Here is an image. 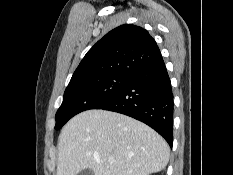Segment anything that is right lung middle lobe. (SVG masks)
<instances>
[{
  "label": "right lung middle lobe",
  "mask_w": 233,
  "mask_h": 175,
  "mask_svg": "<svg viewBox=\"0 0 233 175\" xmlns=\"http://www.w3.org/2000/svg\"><path fill=\"white\" fill-rule=\"evenodd\" d=\"M125 74H105L69 83L56 113L55 129H60L76 114L96 109L113 98L130 80Z\"/></svg>",
  "instance_id": "dd1d6c3e"
}]
</instances>
